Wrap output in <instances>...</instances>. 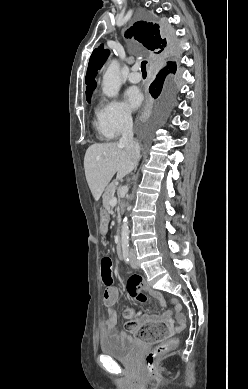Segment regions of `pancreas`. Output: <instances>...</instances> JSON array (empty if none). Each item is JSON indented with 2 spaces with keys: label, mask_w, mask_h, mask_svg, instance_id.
<instances>
[{
  "label": "pancreas",
  "mask_w": 248,
  "mask_h": 389,
  "mask_svg": "<svg viewBox=\"0 0 248 389\" xmlns=\"http://www.w3.org/2000/svg\"><path fill=\"white\" fill-rule=\"evenodd\" d=\"M116 189V185L114 183H111L108 185V187L105 190L104 196H103V207H104V214L107 213V211L110 209V199L114 196Z\"/></svg>",
  "instance_id": "1"
}]
</instances>
